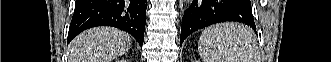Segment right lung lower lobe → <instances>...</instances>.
<instances>
[{"label":"right lung lower lobe","mask_w":331,"mask_h":62,"mask_svg":"<svg viewBox=\"0 0 331 62\" xmlns=\"http://www.w3.org/2000/svg\"><path fill=\"white\" fill-rule=\"evenodd\" d=\"M147 0H76L67 44L95 26H113L130 33L143 45Z\"/></svg>","instance_id":"right-lung-lower-lobe-1"}]
</instances>
